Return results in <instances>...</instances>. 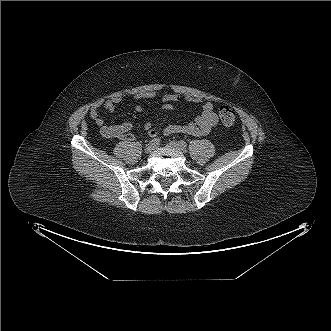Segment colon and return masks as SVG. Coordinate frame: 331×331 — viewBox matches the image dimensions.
<instances>
[{"label":"colon","mask_w":331,"mask_h":331,"mask_svg":"<svg viewBox=\"0 0 331 331\" xmlns=\"http://www.w3.org/2000/svg\"><path fill=\"white\" fill-rule=\"evenodd\" d=\"M219 117L222 124L225 126H231L235 122V112L227 106L220 107Z\"/></svg>","instance_id":"obj_1"}]
</instances>
